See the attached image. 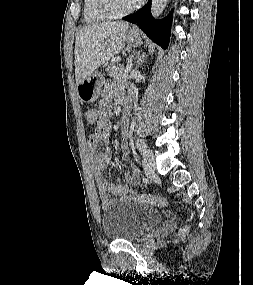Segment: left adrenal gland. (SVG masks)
<instances>
[{
  "instance_id": "left-adrenal-gland-1",
  "label": "left adrenal gland",
  "mask_w": 253,
  "mask_h": 285,
  "mask_svg": "<svg viewBox=\"0 0 253 285\" xmlns=\"http://www.w3.org/2000/svg\"><path fill=\"white\" fill-rule=\"evenodd\" d=\"M144 55H140L139 53L136 56V67L135 69L137 70L140 64L144 61Z\"/></svg>"
}]
</instances>
